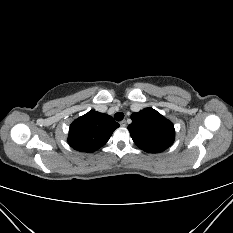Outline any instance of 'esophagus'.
I'll return each instance as SVG.
<instances>
[{
	"label": "esophagus",
	"instance_id": "1",
	"mask_svg": "<svg viewBox=\"0 0 233 233\" xmlns=\"http://www.w3.org/2000/svg\"><path fill=\"white\" fill-rule=\"evenodd\" d=\"M126 125H127L126 120H122V121L120 122V126H121V127H125Z\"/></svg>",
	"mask_w": 233,
	"mask_h": 233
}]
</instances>
